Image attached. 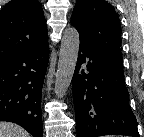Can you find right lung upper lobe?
<instances>
[{"mask_svg": "<svg viewBox=\"0 0 144 137\" xmlns=\"http://www.w3.org/2000/svg\"><path fill=\"white\" fill-rule=\"evenodd\" d=\"M46 39V22L37 0H11L0 11V64Z\"/></svg>", "mask_w": 144, "mask_h": 137, "instance_id": "right-lung-upper-lobe-1", "label": "right lung upper lobe"}]
</instances>
